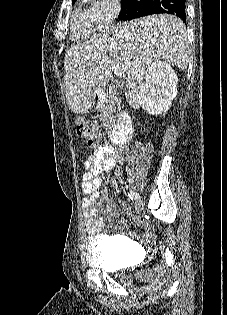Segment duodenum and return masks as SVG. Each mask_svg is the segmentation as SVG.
Returning a JSON list of instances; mask_svg holds the SVG:
<instances>
[{"label": "duodenum", "instance_id": "410a0bca", "mask_svg": "<svg viewBox=\"0 0 227 315\" xmlns=\"http://www.w3.org/2000/svg\"><path fill=\"white\" fill-rule=\"evenodd\" d=\"M132 130L129 113L123 110L119 111L116 126L110 134L112 142L119 146L126 145L131 139Z\"/></svg>", "mask_w": 227, "mask_h": 315}]
</instances>
